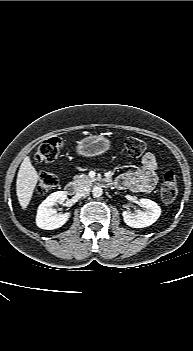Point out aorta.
Here are the masks:
<instances>
[{"label":"aorta","mask_w":193,"mask_h":351,"mask_svg":"<svg viewBox=\"0 0 193 351\" xmlns=\"http://www.w3.org/2000/svg\"><path fill=\"white\" fill-rule=\"evenodd\" d=\"M92 194L94 197H100L103 194V189L99 186H95L92 189Z\"/></svg>","instance_id":"obj_1"}]
</instances>
